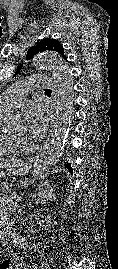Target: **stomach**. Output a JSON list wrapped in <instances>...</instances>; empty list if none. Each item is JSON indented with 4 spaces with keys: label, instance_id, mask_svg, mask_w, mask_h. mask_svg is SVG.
<instances>
[{
    "label": "stomach",
    "instance_id": "stomach-1",
    "mask_svg": "<svg viewBox=\"0 0 118 269\" xmlns=\"http://www.w3.org/2000/svg\"><path fill=\"white\" fill-rule=\"evenodd\" d=\"M29 169H30V164L23 162L20 164L11 165L7 170L10 175H25L28 173Z\"/></svg>",
    "mask_w": 118,
    "mask_h": 269
}]
</instances>
